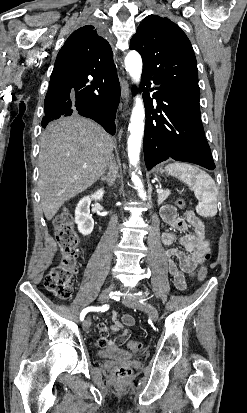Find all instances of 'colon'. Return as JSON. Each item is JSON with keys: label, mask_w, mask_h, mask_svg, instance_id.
<instances>
[{"label": "colon", "mask_w": 247, "mask_h": 413, "mask_svg": "<svg viewBox=\"0 0 247 413\" xmlns=\"http://www.w3.org/2000/svg\"><path fill=\"white\" fill-rule=\"evenodd\" d=\"M178 207L185 205L183 198L176 200ZM55 236L57 243L60 247L61 260L58 264L54 265L48 274L44 278V287L52 292L59 300H69L72 297V284L75 280V273L77 268L78 258V243L79 238L74 229L73 213L69 208H66L63 212L58 214L54 220ZM212 253L208 258L211 260ZM207 271L206 265H201L198 270V278L203 280L205 278V272ZM129 350L137 352L141 349V344L135 340H126ZM115 381H130L131 372L126 366H120L114 373Z\"/></svg>", "instance_id": "1"}]
</instances>
